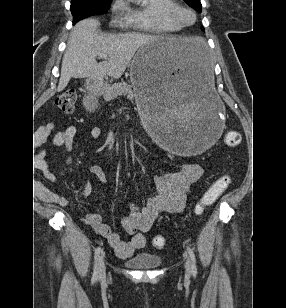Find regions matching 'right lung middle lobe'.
Wrapping results in <instances>:
<instances>
[{
	"mask_svg": "<svg viewBox=\"0 0 286 308\" xmlns=\"http://www.w3.org/2000/svg\"><path fill=\"white\" fill-rule=\"evenodd\" d=\"M111 2L112 0H72L70 10L73 23L88 16L106 13Z\"/></svg>",
	"mask_w": 286,
	"mask_h": 308,
	"instance_id": "1",
	"label": "right lung middle lobe"
}]
</instances>
